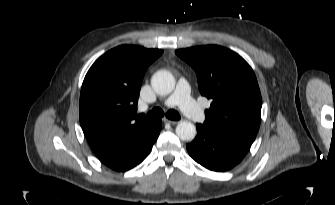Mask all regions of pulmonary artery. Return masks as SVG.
<instances>
[{"mask_svg": "<svg viewBox=\"0 0 335 205\" xmlns=\"http://www.w3.org/2000/svg\"><path fill=\"white\" fill-rule=\"evenodd\" d=\"M165 106H179L183 113L194 122L205 119L202 109L190 96V86L185 79H180L174 93L165 101Z\"/></svg>", "mask_w": 335, "mask_h": 205, "instance_id": "pulmonary-artery-1", "label": "pulmonary artery"}]
</instances>
